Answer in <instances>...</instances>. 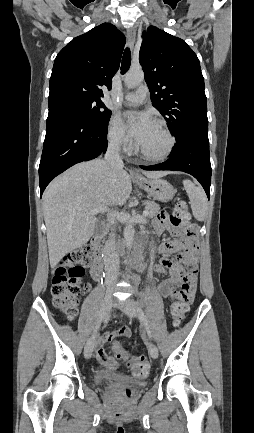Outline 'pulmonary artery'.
Instances as JSON below:
<instances>
[{
    "label": "pulmonary artery",
    "mask_w": 254,
    "mask_h": 433,
    "mask_svg": "<svg viewBox=\"0 0 254 433\" xmlns=\"http://www.w3.org/2000/svg\"><path fill=\"white\" fill-rule=\"evenodd\" d=\"M148 94V88L145 85H141L136 91L127 93L122 97V101L127 105H140L144 102Z\"/></svg>",
    "instance_id": "pulmonary-artery-1"
}]
</instances>
